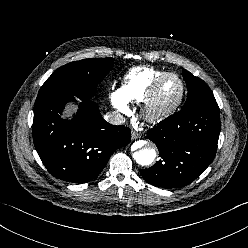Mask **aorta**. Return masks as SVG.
<instances>
[{"instance_id":"1","label":"aorta","mask_w":248,"mask_h":248,"mask_svg":"<svg viewBox=\"0 0 248 248\" xmlns=\"http://www.w3.org/2000/svg\"><path fill=\"white\" fill-rule=\"evenodd\" d=\"M150 146L151 144L142 140L134 143L133 158L139 165L148 166L155 160L156 151Z\"/></svg>"}]
</instances>
